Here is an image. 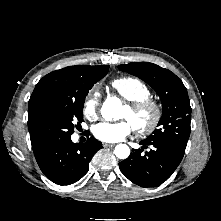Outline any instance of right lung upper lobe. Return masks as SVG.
I'll use <instances>...</instances> for the list:
<instances>
[{"instance_id":"cb5924a9","label":"right lung upper lobe","mask_w":221,"mask_h":221,"mask_svg":"<svg viewBox=\"0 0 221 221\" xmlns=\"http://www.w3.org/2000/svg\"><path fill=\"white\" fill-rule=\"evenodd\" d=\"M106 69L105 65L69 66L47 74L36 84L28 104V128L34 152L42 147L36 135V120L40 111L77 83L92 78Z\"/></svg>"}]
</instances>
